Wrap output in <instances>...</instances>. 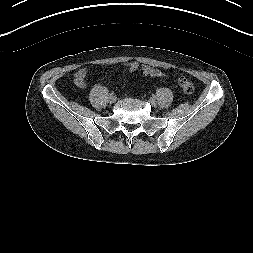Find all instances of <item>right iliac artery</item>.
I'll return each instance as SVG.
<instances>
[{
	"label": "right iliac artery",
	"instance_id": "obj_1",
	"mask_svg": "<svg viewBox=\"0 0 253 253\" xmlns=\"http://www.w3.org/2000/svg\"><path fill=\"white\" fill-rule=\"evenodd\" d=\"M109 95H110V96H113V95H114V92H113V91H112V92H110V93H109Z\"/></svg>",
	"mask_w": 253,
	"mask_h": 253
}]
</instances>
